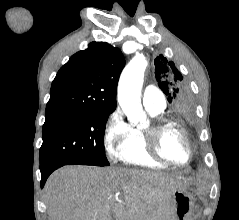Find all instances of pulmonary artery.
<instances>
[{"instance_id": "e3ab8cb5", "label": "pulmonary artery", "mask_w": 239, "mask_h": 220, "mask_svg": "<svg viewBox=\"0 0 239 220\" xmlns=\"http://www.w3.org/2000/svg\"><path fill=\"white\" fill-rule=\"evenodd\" d=\"M143 104L145 107L164 110L166 100L162 91L154 85H148L143 91Z\"/></svg>"}]
</instances>
